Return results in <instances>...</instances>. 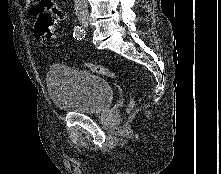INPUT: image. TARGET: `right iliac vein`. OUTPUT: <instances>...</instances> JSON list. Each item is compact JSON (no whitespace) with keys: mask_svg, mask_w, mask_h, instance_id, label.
Here are the masks:
<instances>
[{"mask_svg":"<svg viewBox=\"0 0 221 174\" xmlns=\"http://www.w3.org/2000/svg\"><path fill=\"white\" fill-rule=\"evenodd\" d=\"M80 22H81L82 26H84V27L88 26V19L83 18V19L80 20Z\"/></svg>","mask_w":221,"mask_h":174,"instance_id":"1","label":"right iliac vein"}]
</instances>
